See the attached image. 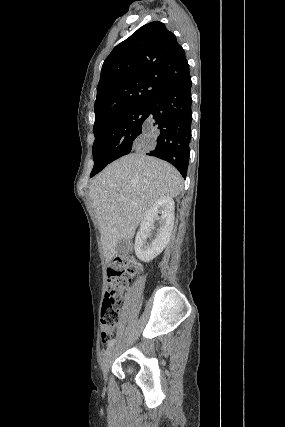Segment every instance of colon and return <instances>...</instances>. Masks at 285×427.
<instances>
[{
    "instance_id": "obj_1",
    "label": "colon",
    "mask_w": 285,
    "mask_h": 427,
    "mask_svg": "<svg viewBox=\"0 0 285 427\" xmlns=\"http://www.w3.org/2000/svg\"><path fill=\"white\" fill-rule=\"evenodd\" d=\"M137 272V265L132 258H117L107 271L108 280L101 312V338L110 339L120 320L119 304L123 294Z\"/></svg>"
}]
</instances>
